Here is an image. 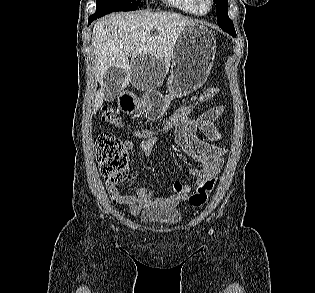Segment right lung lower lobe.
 <instances>
[{
    "instance_id": "1",
    "label": "right lung lower lobe",
    "mask_w": 315,
    "mask_h": 293,
    "mask_svg": "<svg viewBox=\"0 0 315 293\" xmlns=\"http://www.w3.org/2000/svg\"><path fill=\"white\" fill-rule=\"evenodd\" d=\"M119 11L115 8H96V12L89 17L88 25L92 23L93 20L100 18L108 13Z\"/></svg>"
}]
</instances>
